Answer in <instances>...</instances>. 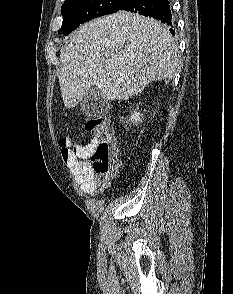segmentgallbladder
Returning a JSON list of instances; mask_svg holds the SVG:
<instances>
[{"mask_svg":"<svg viewBox=\"0 0 233 294\" xmlns=\"http://www.w3.org/2000/svg\"><path fill=\"white\" fill-rule=\"evenodd\" d=\"M107 104L98 87L92 86L81 100L80 108L87 117H99L107 110Z\"/></svg>","mask_w":233,"mask_h":294,"instance_id":"gallbladder-1","label":"gallbladder"}]
</instances>
